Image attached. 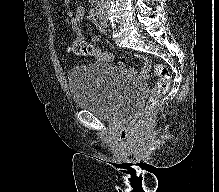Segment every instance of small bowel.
<instances>
[{
    "label": "small bowel",
    "mask_w": 219,
    "mask_h": 192,
    "mask_svg": "<svg viewBox=\"0 0 219 192\" xmlns=\"http://www.w3.org/2000/svg\"><path fill=\"white\" fill-rule=\"evenodd\" d=\"M89 2H90V4H93V3H95V0H89ZM95 17H96L95 10L94 9H90L89 14L87 16V19L94 20ZM84 18H85V8L83 6H81V5H79V6H77L75 8V11L71 15V18H70V24H71L72 31L76 34L77 38H82L81 23L84 20ZM97 24H98L99 29L101 31H103L102 25L100 23H97ZM92 41L97 43V42L100 41V38L98 36H94L92 38ZM98 58L101 61H104L100 56H98ZM148 68H149V64L146 65L145 70H148ZM131 71L134 72V73L137 72V70L135 68H132ZM144 77H147L146 72H144Z\"/></svg>",
    "instance_id": "c3829d8e"
}]
</instances>
